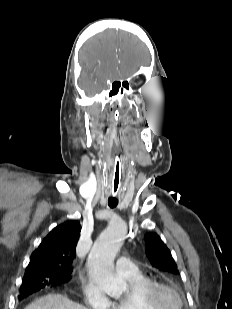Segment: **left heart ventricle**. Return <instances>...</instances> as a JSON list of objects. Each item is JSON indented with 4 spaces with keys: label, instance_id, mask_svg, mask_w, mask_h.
<instances>
[{
    "label": "left heart ventricle",
    "instance_id": "1",
    "mask_svg": "<svg viewBox=\"0 0 232 309\" xmlns=\"http://www.w3.org/2000/svg\"><path fill=\"white\" fill-rule=\"evenodd\" d=\"M163 304L166 307L165 309H178V300L172 293L168 292L163 295Z\"/></svg>",
    "mask_w": 232,
    "mask_h": 309
}]
</instances>
